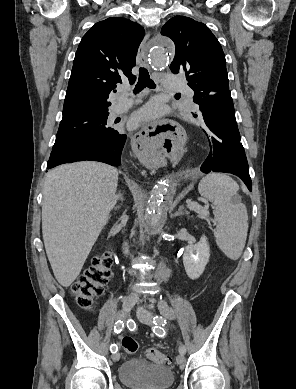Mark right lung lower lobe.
I'll return each instance as SVG.
<instances>
[{
  "label": "right lung lower lobe",
  "mask_w": 296,
  "mask_h": 389,
  "mask_svg": "<svg viewBox=\"0 0 296 389\" xmlns=\"http://www.w3.org/2000/svg\"><path fill=\"white\" fill-rule=\"evenodd\" d=\"M127 136L117 133L87 140L77 145L62 147L51 152L48 168L64 163L92 160L118 166Z\"/></svg>",
  "instance_id": "obj_1"
}]
</instances>
